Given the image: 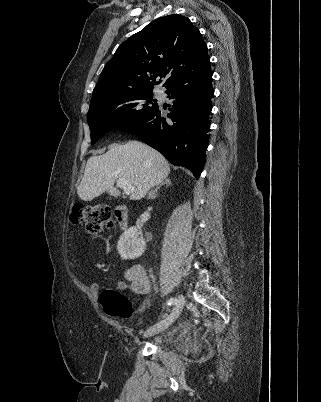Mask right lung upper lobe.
<instances>
[{"instance_id":"1","label":"right lung upper lobe","mask_w":321,"mask_h":402,"mask_svg":"<svg viewBox=\"0 0 321 402\" xmlns=\"http://www.w3.org/2000/svg\"><path fill=\"white\" fill-rule=\"evenodd\" d=\"M207 45L198 28L184 16L156 19L132 35L105 65L90 106L126 94L149 91L157 77L172 81L210 64Z\"/></svg>"}]
</instances>
